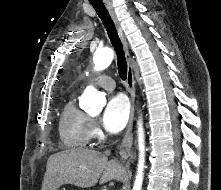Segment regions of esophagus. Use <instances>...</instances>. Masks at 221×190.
Listing matches in <instances>:
<instances>
[{"mask_svg":"<svg viewBox=\"0 0 221 190\" xmlns=\"http://www.w3.org/2000/svg\"><path fill=\"white\" fill-rule=\"evenodd\" d=\"M104 3L117 29V32L122 42L123 50L127 59V86H128V91L130 94L131 110H130L129 123H128L125 135L122 139V143L120 146V157L122 160H126L130 153V149H131L132 141H133L132 128H133V121H134L135 98H136L133 64H132V59L129 53V46H128L126 36L123 32V29L121 27L119 20L116 17L113 7L111 3L107 0H104Z\"/></svg>","mask_w":221,"mask_h":190,"instance_id":"obj_1","label":"esophagus"}]
</instances>
